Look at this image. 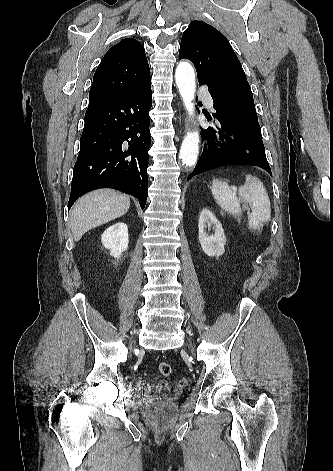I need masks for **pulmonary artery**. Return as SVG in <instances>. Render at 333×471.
<instances>
[{"label":"pulmonary artery","mask_w":333,"mask_h":471,"mask_svg":"<svg viewBox=\"0 0 333 471\" xmlns=\"http://www.w3.org/2000/svg\"><path fill=\"white\" fill-rule=\"evenodd\" d=\"M202 95H203V98H204V101H205L206 105L209 108H212L213 107V100H212L211 96L207 92H204V91H202Z\"/></svg>","instance_id":"obj_1"}]
</instances>
